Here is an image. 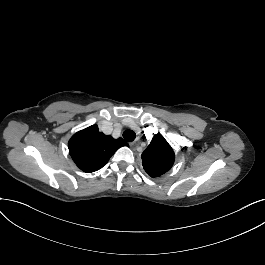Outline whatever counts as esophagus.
Returning <instances> with one entry per match:
<instances>
[{"instance_id": "obj_1", "label": "esophagus", "mask_w": 265, "mask_h": 265, "mask_svg": "<svg viewBox=\"0 0 265 265\" xmlns=\"http://www.w3.org/2000/svg\"><path fill=\"white\" fill-rule=\"evenodd\" d=\"M139 144H140V140H139V138H137L133 142L130 143V148L132 150H136L137 147L139 146Z\"/></svg>"}]
</instances>
